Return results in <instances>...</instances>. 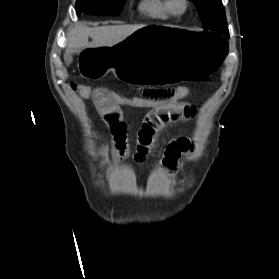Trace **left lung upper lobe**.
Segmentation results:
<instances>
[{
  "instance_id": "obj_1",
  "label": "left lung upper lobe",
  "mask_w": 279,
  "mask_h": 279,
  "mask_svg": "<svg viewBox=\"0 0 279 279\" xmlns=\"http://www.w3.org/2000/svg\"><path fill=\"white\" fill-rule=\"evenodd\" d=\"M198 8L203 28L211 31L229 35L225 10L221 0H191Z\"/></svg>"
}]
</instances>
